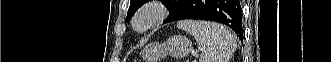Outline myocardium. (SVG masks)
<instances>
[{"label": "myocardium", "instance_id": "f54148a6", "mask_svg": "<svg viewBox=\"0 0 331 62\" xmlns=\"http://www.w3.org/2000/svg\"><path fill=\"white\" fill-rule=\"evenodd\" d=\"M167 17L168 10L162 2H150L136 12L131 25L135 32L142 34L162 24Z\"/></svg>", "mask_w": 331, "mask_h": 62}]
</instances>
